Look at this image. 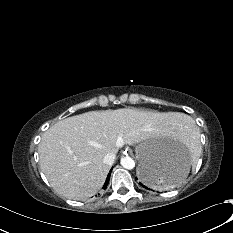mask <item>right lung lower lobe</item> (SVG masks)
<instances>
[{
  "label": "right lung lower lobe",
  "mask_w": 233,
  "mask_h": 233,
  "mask_svg": "<svg viewBox=\"0 0 233 233\" xmlns=\"http://www.w3.org/2000/svg\"><path fill=\"white\" fill-rule=\"evenodd\" d=\"M111 172V171H110ZM110 173L108 174V176H107V179H106V181H105V183H104V185H103V189H105L106 187H107V185H108V182H109V179H110Z\"/></svg>",
  "instance_id": "obj_1"
}]
</instances>
